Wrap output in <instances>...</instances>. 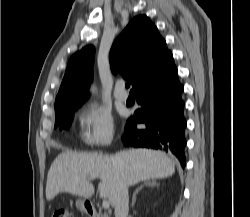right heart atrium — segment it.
Segmentation results:
<instances>
[{
  "instance_id": "obj_1",
  "label": "right heart atrium",
  "mask_w": 250,
  "mask_h": 217,
  "mask_svg": "<svg viewBox=\"0 0 250 217\" xmlns=\"http://www.w3.org/2000/svg\"><path fill=\"white\" fill-rule=\"evenodd\" d=\"M80 124V139L89 147H104L114 137L113 118L108 110L97 105L87 104L77 113Z\"/></svg>"
}]
</instances>
